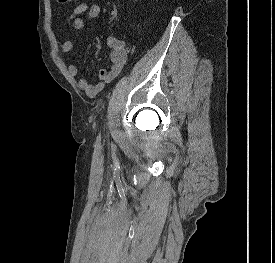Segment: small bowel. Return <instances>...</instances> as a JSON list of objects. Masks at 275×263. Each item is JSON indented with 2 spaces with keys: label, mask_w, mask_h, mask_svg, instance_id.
Returning a JSON list of instances; mask_svg holds the SVG:
<instances>
[{
  "label": "small bowel",
  "mask_w": 275,
  "mask_h": 263,
  "mask_svg": "<svg viewBox=\"0 0 275 263\" xmlns=\"http://www.w3.org/2000/svg\"><path fill=\"white\" fill-rule=\"evenodd\" d=\"M101 13V8L97 4L83 2L78 4L70 13L68 19L76 30H82L86 25L95 20ZM107 44L111 48L110 60L111 67L103 68L99 72L98 82L89 84L84 77H79L76 81L77 87L84 91L89 97L96 96L104 87L114 80L122 71L127 60V49L124 40L110 36ZM74 48V43L70 40L64 41L61 45V51L68 53ZM67 72L71 77H76L78 68L74 64L67 66Z\"/></svg>",
  "instance_id": "c3829d8e"
}]
</instances>
